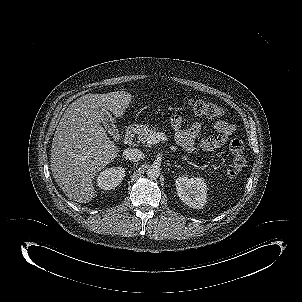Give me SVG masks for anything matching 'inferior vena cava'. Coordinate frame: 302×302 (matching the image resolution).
<instances>
[{
	"label": "inferior vena cava",
	"mask_w": 302,
	"mask_h": 302,
	"mask_svg": "<svg viewBox=\"0 0 302 302\" xmlns=\"http://www.w3.org/2000/svg\"><path fill=\"white\" fill-rule=\"evenodd\" d=\"M123 156L130 161H139L144 158V153L139 149L128 148L123 151Z\"/></svg>",
	"instance_id": "obj_1"
}]
</instances>
